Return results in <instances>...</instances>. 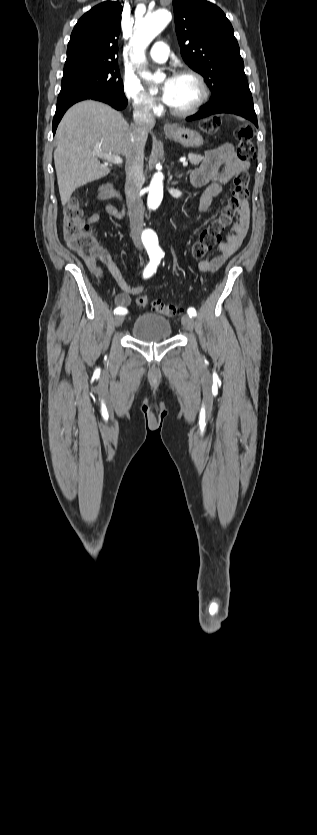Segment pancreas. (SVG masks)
Segmentation results:
<instances>
[{"mask_svg":"<svg viewBox=\"0 0 317 835\" xmlns=\"http://www.w3.org/2000/svg\"><path fill=\"white\" fill-rule=\"evenodd\" d=\"M188 158H189L190 162H191L192 164H194V165L199 164V163L201 162V160H202L201 155H199V154H194V153H190V154L188 155Z\"/></svg>","mask_w":317,"mask_h":835,"instance_id":"obj_1","label":"pancreas"}]
</instances>
